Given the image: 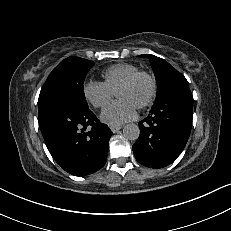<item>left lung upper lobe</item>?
Returning <instances> with one entry per match:
<instances>
[{
  "label": "left lung upper lobe",
  "instance_id": "1",
  "mask_svg": "<svg viewBox=\"0 0 231 231\" xmlns=\"http://www.w3.org/2000/svg\"><path fill=\"white\" fill-rule=\"evenodd\" d=\"M149 57L157 81L156 101L167 92L179 87H188L186 78L174 69L167 61L151 54L141 55Z\"/></svg>",
  "mask_w": 231,
  "mask_h": 231
}]
</instances>
